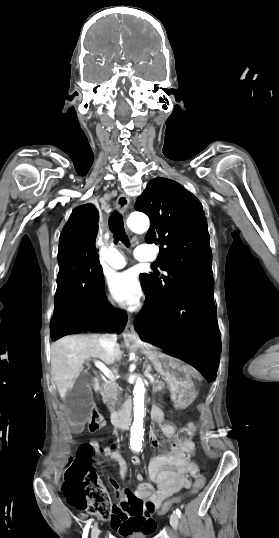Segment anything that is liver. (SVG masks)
Returning a JSON list of instances; mask_svg holds the SVG:
<instances>
[{"label": "liver", "instance_id": "6515ba94", "mask_svg": "<svg viewBox=\"0 0 279 538\" xmlns=\"http://www.w3.org/2000/svg\"><path fill=\"white\" fill-rule=\"evenodd\" d=\"M119 346L114 348V356H118ZM89 358H99L105 364H110V358L99 344L98 336H65L51 346V376L62 398L74 386L83 364Z\"/></svg>", "mask_w": 279, "mask_h": 538}]
</instances>
